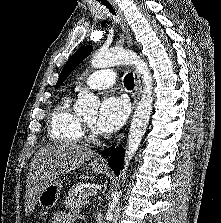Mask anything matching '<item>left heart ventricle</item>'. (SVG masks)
Returning a JSON list of instances; mask_svg holds the SVG:
<instances>
[{"label": "left heart ventricle", "mask_w": 221, "mask_h": 223, "mask_svg": "<svg viewBox=\"0 0 221 223\" xmlns=\"http://www.w3.org/2000/svg\"><path fill=\"white\" fill-rule=\"evenodd\" d=\"M89 124H91L92 126L95 125V122H96V119H97V115L96 113L95 114H92V115H89L87 117L84 118Z\"/></svg>", "instance_id": "left-heart-ventricle-1"}]
</instances>
